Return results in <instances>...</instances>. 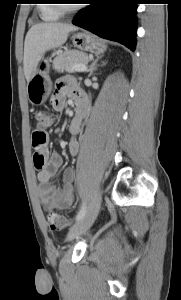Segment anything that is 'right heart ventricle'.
<instances>
[{
    "label": "right heart ventricle",
    "instance_id": "1",
    "mask_svg": "<svg viewBox=\"0 0 181 300\" xmlns=\"http://www.w3.org/2000/svg\"><path fill=\"white\" fill-rule=\"evenodd\" d=\"M41 4L37 7L40 18L45 22L58 21L62 14L56 9L53 0H41Z\"/></svg>",
    "mask_w": 181,
    "mask_h": 300
}]
</instances>
